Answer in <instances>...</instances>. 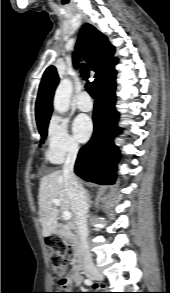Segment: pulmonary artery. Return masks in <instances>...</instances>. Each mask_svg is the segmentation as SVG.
I'll list each match as a JSON object with an SVG mask.
<instances>
[{
	"instance_id": "obj_1",
	"label": "pulmonary artery",
	"mask_w": 170,
	"mask_h": 293,
	"mask_svg": "<svg viewBox=\"0 0 170 293\" xmlns=\"http://www.w3.org/2000/svg\"><path fill=\"white\" fill-rule=\"evenodd\" d=\"M77 107L81 111L88 112L93 109V102L90 98V95L87 92H82L79 95L78 101H77Z\"/></svg>"
}]
</instances>
